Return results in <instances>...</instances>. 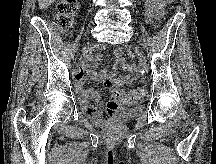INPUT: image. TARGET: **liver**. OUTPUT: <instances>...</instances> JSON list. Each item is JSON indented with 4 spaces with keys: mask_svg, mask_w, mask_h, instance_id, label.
I'll list each match as a JSON object with an SVG mask.
<instances>
[{
    "mask_svg": "<svg viewBox=\"0 0 216 164\" xmlns=\"http://www.w3.org/2000/svg\"><path fill=\"white\" fill-rule=\"evenodd\" d=\"M54 1L55 0H38L40 10L48 8Z\"/></svg>",
    "mask_w": 216,
    "mask_h": 164,
    "instance_id": "obj_1",
    "label": "liver"
}]
</instances>
